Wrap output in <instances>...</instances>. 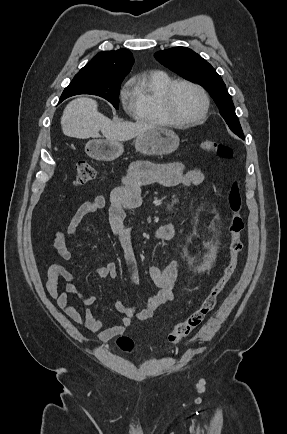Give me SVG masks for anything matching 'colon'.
Wrapping results in <instances>:
<instances>
[{"mask_svg":"<svg viewBox=\"0 0 287 434\" xmlns=\"http://www.w3.org/2000/svg\"><path fill=\"white\" fill-rule=\"evenodd\" d=\"M201 148L203 151L212 153L220 158H230L232 156V151L228 146L213 140L203 141ZM96 176L97 170L94 166L85 161L78 162L74 184L77 186L85 185L93 181ZM228 206L230 210L228 262L221 276L202 300L199 307L192 311L184 320L174 325L167 338L169 344L180 342L201 325L205 317L215 308L219 295L236 272L239 256L243 250L242 233L244 231L243 199L237 182L232 184L228 192ZM116 343L125 352H130L134 348V342L128 336L118 337Z\"/></svg>","mask_w":287,"mask_h":434,"instance_id":"5ec220e1","label":"colon"}]
</instances>
